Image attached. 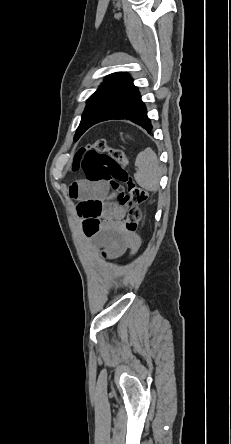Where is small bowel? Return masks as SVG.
Masks as SVG:
<instances>
[{
    "instance_id": "obj_1",
    "label": "small bowel",
    "mask_w": 231,
    "mask_h": 444,
    "mask_svg": "<svg viewBox=\"0 0 231 444\" xmlns=\"http://www.w3.org/2000/svg\"><path fill=\"white\" fill-rule=\"evenodd\" d=\"M108 185L104 181H78L71 185L70 196L81 203L94 201L101 204L100 228L94 235L104 249V256L118 258L127 251L134 254L140 246V238L129 234L123 227L125 209L107 197Z\"/></svg>"
}]
</instances>
